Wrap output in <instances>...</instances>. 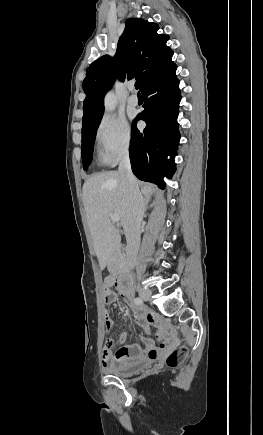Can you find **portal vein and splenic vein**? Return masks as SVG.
Segmentation results:
<instances>
[{"label":"portal vein and splenic vein","instance_id":"18ae733b","mask_svg":"<svg viewBox=\"0 0 263 435\" xmlns=\"http://www.w3.org/2000/svg\"><path fill=\"white\" fill-rule=\"evenodd\" d=\"M110 219L112 220V222H119L120 217L117 214H110Z\"/></svg>","mask_w":263,"mask_h":435}]
</instances>
